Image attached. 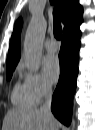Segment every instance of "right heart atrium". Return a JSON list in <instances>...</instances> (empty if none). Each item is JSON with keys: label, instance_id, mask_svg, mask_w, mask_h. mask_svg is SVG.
<instances>
[{"label": "right heart atrium", "instance_id": "d8ad5b80", "mask_svg": "<svg viewBox=\"0 0 95 130\" xmlns=\"http://www.w3.org/2000/svg\"><path fill=\"white\" fill-rule=\"evenodd\" d=\"M24 83L35 103L41 102L52 91L49 81L39 73H26Z\"/></svg>", "mask_w": 95, "mask_h": 130}]
</instances>
